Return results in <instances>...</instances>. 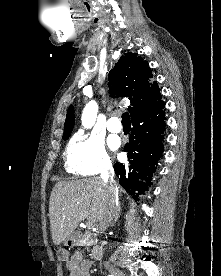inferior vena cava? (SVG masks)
<instances>
[{
    "label": "inferior vena cava",
    "mask_w": 221,
    "mask_h": 276,
    "mask_svg": "<svg viewBox=\"0 0 221 276\" xmlns=\"http://www.w3.org/2000/svg\"><path fill=\"white\" fill-rule=\"evenodd\" d=\"M114 170L111 164L107 165L101 173V178L105 184H109L107 201L104 212L99 220V232L104 233L111 225L118 214V188L113 180Z\"/></svg>",
    "instance_id": "inferior-vena-cava-1"
}]
</instances>
